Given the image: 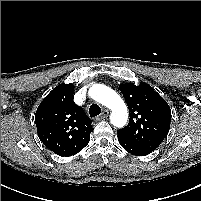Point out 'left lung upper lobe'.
Returning <instances> with one entry per match:
<instances>
[{"instance_id": "5c2ea615", "label": "left lung upper lobe", "mask_w": 201, "mask_h": 201, "mask_svg": "<svg viewBox=\"0 0 201 201\" xmlns=\"http://www.w3.org/2000/svg\"><path fill=\"white\" fill-rule=\"evenodd\" d=\"M130 114L129 123L117 132L136 144L154 151L170 129L171 109L148 84L119 85Z\"/></svg>"}]
</instances>
